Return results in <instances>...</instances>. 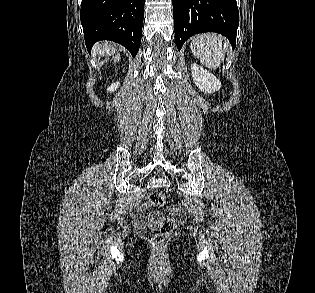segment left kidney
Instances as JSON below:
<instances>
[{"label":"left kidney","mask_w":315,"mask_h":293,"mask_svg":"<svg viewBox=\"0 0 315 293\" xmlns=\"http://www.w3.org/2000/svg\"><path fill=\"white\" fill-rule=\"evenodd\" d=\"M191 74L196 86L206 94L214 93L221 88L219 79L196 63L191 65Z\"/></svg>","instance_id":"5707ae66"}]
</instances>
